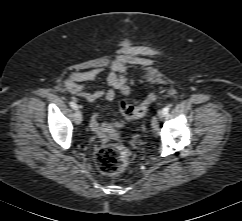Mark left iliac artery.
<instances>
[{
  "label": "left iliac artery",
  "mask_w": 242,
  "mask_h": 221,
  "mask_svg": "<svg viewBox=\"0 0 242 221\" xmlns=\"http://www.w3.org/2000/svg\"><path fill=\"white\" fill-rule=\"evenodd\" d=\"M169 110H170V106L164 107L162 110L163 115H166L169 112Z\"/></svg>",
  "instance_id": "44dca946"
}]
</instances>
